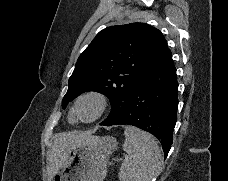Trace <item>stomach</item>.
Instances as JSON below:
<instances>
[{"label": "stomach", "instance_id": "obj_1", "mask_svg": "<svg viewBox=\"0 0 228 181\" xmlns=\"http://www.w3.org/2000/svg\"><path fill=\"white\" fill-rule=\"evenodd\" d=\"M117 145L114 137H93L88 145H75L53 181H104L108 157Z\"/></svg>", "mask_w": 228, "mask_h": 181}]
</instances>
